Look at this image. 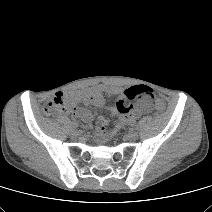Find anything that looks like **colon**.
Returning <instances> with one entry per match:
<instances>
[{"label":"colon","instance_id":"1","mask_svg":"<svg viewBox=\"0 0 212 212\" xmlns=\"http://www.w3.org/2000/svg\"><path fill=\"white\" fill-rule=\"evenodd\" d=\"M129 99L147 98L154 101L158 111H164L165 103L157 97L156 93L147 86H133L127 89ZM68 103L61 97L55 96L43 109L46 116H52L56 113L64 112L68 109Z\"/></svg>","mask_w":212,"mask_h":212}]
</instances>
